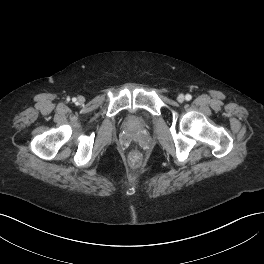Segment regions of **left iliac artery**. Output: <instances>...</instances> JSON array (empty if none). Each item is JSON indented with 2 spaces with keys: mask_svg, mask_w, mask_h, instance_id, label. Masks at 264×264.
<instances>
[{
  "mask_svg": "<svg viewBox=\"0 0 264 264\" xmlns=\"http://www.w3.org/2000/svg\"><path fill=\"white\" fill-rule=\"evenodd\" d=\"M185 98H186L187 101H189V100L192 99V96H191L190 94H187V95L185 96Z\"/></svg>",
  "mask_w": 264,
  "mask_h": 264,
  "instance_id": "44dca946",
  "label": "left iliac artery"
}]
</instances>
